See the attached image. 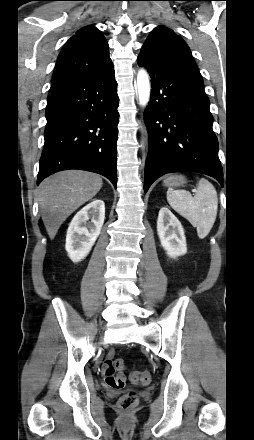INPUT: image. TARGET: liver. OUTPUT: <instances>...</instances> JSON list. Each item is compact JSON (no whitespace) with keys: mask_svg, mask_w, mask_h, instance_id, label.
<instances>
[{"mask_svg":"<svg viewBox=\"0 0 254 440\" xmlns=\"http://www.w3.org/2000/svg\"><path fill=\"white\" fill-rule=\"evenodd\" d=\"M102 184L99 175L81 170L55 173L40 184L38 202L51 239L69 215L100 191Z\"/></svg>","mask_w":254,"mask_h":440,"instance_id":"6515ba94","label":"liver"}]
</instances>
